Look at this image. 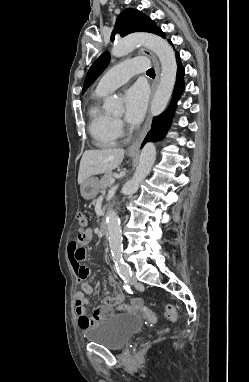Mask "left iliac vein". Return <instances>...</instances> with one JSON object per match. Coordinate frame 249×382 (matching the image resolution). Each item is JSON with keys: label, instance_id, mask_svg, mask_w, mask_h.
Listing matches in <instances>:
<instances>
[{"label": "left iliac vein", "instance_id": "1", "mask_svg": "<svg viewBox=\"0 0 249 382\" xmlns=\"http://www.w3.org/2000/svg\"><path fill=\"white\" fill-rule=\"evenodd\" d=\"M137 282V279L135 277L130 278V283L135 284Z\"/></svg>", "mask_w": 249, "mask_h": 382}]
</instances>
